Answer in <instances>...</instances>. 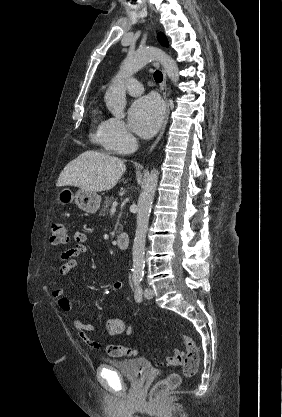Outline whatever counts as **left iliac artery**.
Returning a JSON list of instances; mask_svg holds the SVG:
<instances>
[{"label":"left iliac artery","instance_id":"1","mask_svg":"<svg viewBox=\"0 0 282 417\" xmlns=\"http://www.w3.org/2000/svg\"><path fill=\"white\" fill-rule=\"evenodd\" d=\"M134 297L137 302H140L142 300V287L141 286H137Z\"/></svg>","mask_w":282,"mask_h":417}]
</instances>
